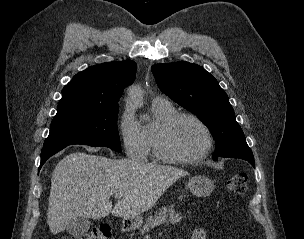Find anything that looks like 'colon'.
Returning a JSON list of instances; mask_svg holds the SVG:
<instances>
[{
	"label": "colon",
	"instance_id": "1",
	"mask_svg": "<svg viewBox=\"0 0 304 239\" xmlns=\"http://www.w3.org/2000/svg\"><path fill=\"white\" fill-rule=\"evenodd\" d=\"M247 176L243 173H237L231 176L226 182V191L231 195H242L246 191ZM111 236V230L108 225H100L92 228L88 232L68 239H108Z\"/></svg>",
	"mask_w": 304,
	"mask_h": 239
}]
</instances>
